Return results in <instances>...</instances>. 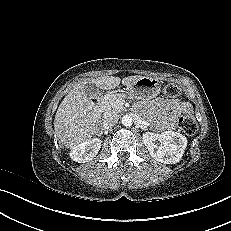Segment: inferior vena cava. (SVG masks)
Returning <instances> with one entry per match:
<instances>
[{
	"mask_svg": "<svg viewBox=\"0 0 231 231\" xmlns=\"http://www.w3.org/2000/svg\"><path fill=\"white\" fill-rule=\"evenodd\" d=\"M118 116L116 114H107L104 116L102 121V126L105 129H108L112 126H114L118 121Z\"/></svg>",
	"mask_w": 231,
	"mask_h": 231,
	"instance_id": "1",
	"label": "inferior vena cava"
}]
</instances>
